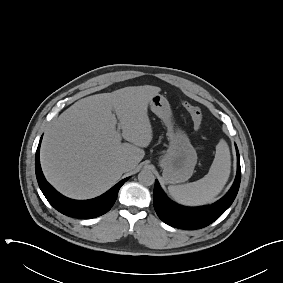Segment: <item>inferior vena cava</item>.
Listing matches in <instances>:
<instances>
[{"label": "inferior vena cava", "instance_id": "obj_1", "mask_svg": "<svg viewBox=\"0 0 283 283\" xmlns=\"http://www.w3.org/2000/svg\"><path fill=\"white\" fill-rule=\"evenodd\" d=\"M129 168H130V164L128 162H124V163L120 164V169L123 172H126Z\"/></svg>", "mask_w": 283, "mask_h": 283}]
</instances>
